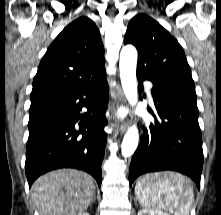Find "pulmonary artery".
I'll list each match as a JSON object with an SVG mask.
<instances>
[{"instance_id":"obj_1","label":"pulmonary artery","mask_w":221,"mask_h":215,"mask_svg":"<svg viewBox=\"0 0 221 215\" xmlns=\"http://www.w3.org/2000/svg\"><path fill=\"white\" fill-rule=\"evenodd\" d=\"M145 87H146V90H147V93H148V96L150 98V100H152V95H151V83L150 82H145Z\"/></svg>"}]
</instances>
